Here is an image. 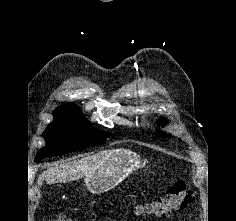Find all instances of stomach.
<instances>
[{"label": "stomach", "instance_id": "0dacf381", "mask_svg": "<svg viewBox=\"0 0 236 221\" xmlns=\"http://www.w3.org/2000/svg\"><path fill=\"white\" fill-rule=\"evenodd\" d=\"M144 167L145 162L133 152L113 150L92 173L85 176V187L92 194L105 193Z\"/></svg>", "mask_w": 236, "mask_h": 221}]
</instances>
